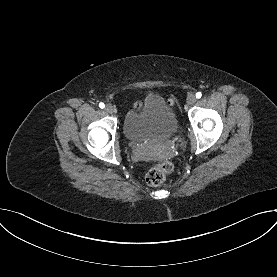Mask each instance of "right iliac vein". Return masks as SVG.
<instances>
[{
  "mask_svg": "<svg viewBox=\"0 0 277 277\" xmlns=\"http://www.w3.org/2000/svg\"><path fill=\"white\" fill-rule=\"evenodd\" d=\"M105 111L112 114L114 112V107L111 104H107L105 107Z\"/></svg>",
  "mask_w": 277,
  "mask_h": 277,
  "instance_id": "1",
  "label": "right iliac vein"
}]
</instances>
